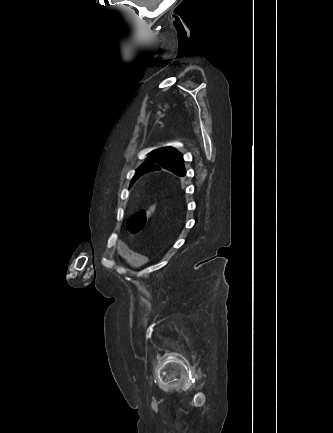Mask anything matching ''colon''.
<instances>
[{"label": "colon", "mask_w": 333, "mask_h": 433, "mask_svg": "<svg viewBox=\"0 0 333 433\" xmlns=\"http://www.w3.org/2000/svg\"><path fill=\"white\" fill-rule=\"evenodd\" d=\"M156 205V203H153L148 208H143L129 217L127 228L130 233L138 234L144 229L149 218L154 213Z\"/></svg>", "instance_id": "5ec220e1"}]
</instances>
